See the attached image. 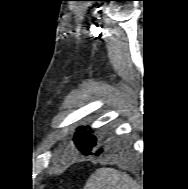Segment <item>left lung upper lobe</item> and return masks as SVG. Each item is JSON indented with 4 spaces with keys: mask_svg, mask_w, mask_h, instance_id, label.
Wrapping results in <instances>:
<instances>
[{
    "mask_svg": "<svg viewBox=\"0 0 188 189\" xmlns=\"http://www.w3.org/2000/svg\"><path fill=\"white\" fill-rule=\"evenodd\" d=\"M92 130L87 131V129L81 127L77 130L74 135V142L78 149L84 154H89L90 151L97 146V138L91 134Z\"/></svg>",
    "mask_w": 188,
    "mask_h": 189,
    "instance_id": "1",
    "label": "left lung upper lobe"
}]
</instances>
